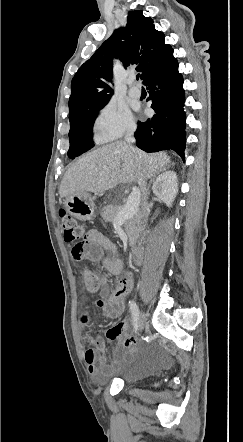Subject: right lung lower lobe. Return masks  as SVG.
<instances>
[{
	"label": "right lung lower lobe",
	"mask_w": 243,
	"mask_h": 442,
	"mask_svg": "<svg viewBox=\"0 0 243 442\" xmlns=\"http://www.w3.org/2000/svg\"><path fill=\"white\" fill-rule=\"evenodd\" d=\"M149 89L153 118L138 122L136 145L146 152L172 149L184 160L185 113L183 78L173 50L143 81Z\"/></svg>",
	"instance_id": "98d812e1"
}]
</instances>
